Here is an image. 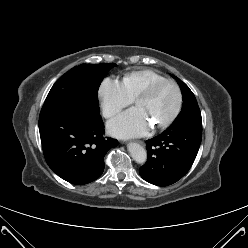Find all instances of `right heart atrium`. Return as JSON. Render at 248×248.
Here are the masks:
<instances>
[{"instance_id": "right-heart-atrium-1", "label": "right heart atrium", "mask_w": 248, "mask_h": 248, "mask_svg": "<svg viewBox=\"0 0 248 248\" xmlns=\"http://www.w3.org/2000/svg\"><path fill=\"white\" fill-rule=\"evenodd\" d=\"M98 97L103 116L107 119L116 116L124 107L132 102L122 82L113 78H105L99 86Z\"/></svg>"}]
</instances>
